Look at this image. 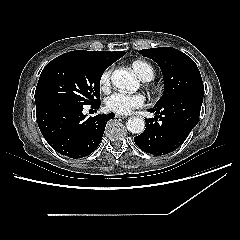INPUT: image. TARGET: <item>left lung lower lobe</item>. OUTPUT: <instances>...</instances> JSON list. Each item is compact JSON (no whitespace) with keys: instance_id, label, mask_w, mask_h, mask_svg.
<instances>
[{"instance_id":"obj_1","label":"left lung lower lobe","mask_w":240,"mask_h":240,"mask_svg":"<svg viewBox=\"0 0 240 240\" xmlns=\"http://www.w3.org/2000/svg\"><path fill=\"white\" fill-rule=\"evenodd\" d=\"M203 96L204 89H195L173 97L162 106L149 109L159 116L155 120L145 119V131L134 137L136 145L153 155H165L176 150L197 125ZM158 118L160 122H157Z\"/></svg>"}]
</instances>
